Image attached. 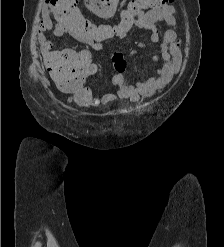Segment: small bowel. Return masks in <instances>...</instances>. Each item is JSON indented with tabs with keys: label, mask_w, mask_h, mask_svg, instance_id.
Wrapping results in <instances>:
<instances>
[{
	"label": "small bowel",
	"mask_w": 224,
	"mask_h": 247,
	"mask_svg": "<svg viewBox=\"0 0 224 247\" xmlns=\"http://www.w3.org/2000/svg\"><path fill=\"white\" fill-rule=\"evenodd\" d=\"M84 1L87 8L101 18L111 17L115 12L118 2V0ZM163 22L169 25L170 29L161 37L158 25ZM133 23L140 29L150 32L151 41L160 45V52L153 56V60L161 62V65L154 70L153 76L137 82H131L122 72L114 74L111 80L118 87L117 91L94 97L93 105L106 103L117 98L137 101L140 97L152 96L170 84L179 71L182 61L181 41L177 34V20L174 7L168 5L148 10L139 14ZM49 30H52L56 37H61L65 34L71 35L96 51H102L104 48L103 41L78 35L72 27L64 23L57 7L53 4V0H44L39 25V39L46 61L53 57L52 41L43 34ZM145 46V43L140 44V47ZM135 53V49H130L129 56L131 57Z\"/></svg>",
	"instance_id": "c3829d8e"
}]
</instances>
